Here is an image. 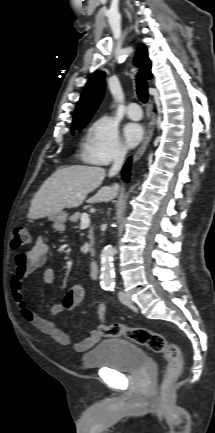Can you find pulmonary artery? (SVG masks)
<instances>
[{"instance_id":"1","label":"pulmonary artery","mask_w":215,"mask_h":433,"mask_svg":"<svg viewBox=\"0 0 215 433\" xmlns=\"http://www.w3.org/2000/svg\"><path fill=\"white\" fill-rule=\"evenodd\" d=\"M127 115L133 120H139L142 117V110L138 103L132 102L127 107Z\"/></svg>"}]
</instances>
